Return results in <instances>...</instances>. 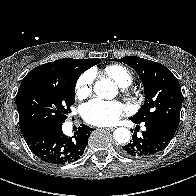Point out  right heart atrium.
Instances as JSON below:
<instances>
[{
  "label": "right heart atrium",
  "instance_id": "obj_1",
  "mask_svg": "<svg viewBox=\"0 0 196 196\" xmlns=\"http://www.w3.org/2000/svg\"><path fill=\"white\" fill-rule=\"evenodd\" d=\"M94 74L91 71L83 73L76 82L75 93L80 99L90 95Z\"/></svg>",
  "mask_w": 196,
  "mask_h": 196
}]
</instances>
